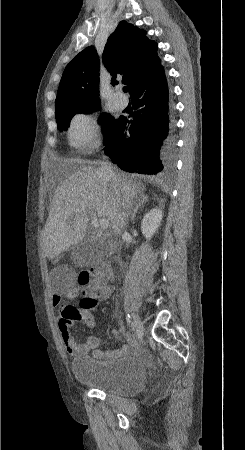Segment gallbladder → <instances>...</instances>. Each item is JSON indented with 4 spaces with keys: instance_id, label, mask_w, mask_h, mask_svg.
<instances>
[{
    "instance_id": "bac80fb5",
    "label": "gallbladder",
    "mask_w": 245,
    "mask_h": 450,
    "mask_svg": "<svg viewBox=\"0 0 245 450\" xmlns=\"http://www.w3.org/2000/svg\"><path fill=\"white\" fill-rule=\"evenodd\" d=\"M109 252L105 244L95 240H85L74 249L71 259L76 265L84 266L105 259Z\"/></svg>"
}]
</instances>
